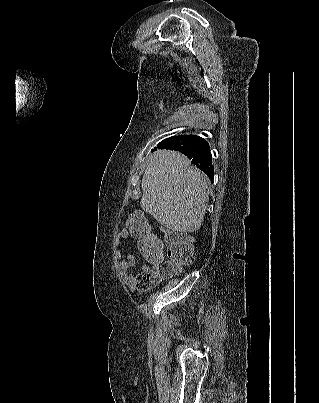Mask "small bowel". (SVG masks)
<instances>
[{"label":"small bowel","mask_w":319,"mask_h":403,"mask_svg":"<svg viewBox=\"0 0 319 403\" xmlns=\"http://www.w3.org/2000/svg\"><path fill=\"white\" fill-rule=\"evenodd\" d=\"M132 235L130 231L124 230L122 231V236L124 238L129 237ZM136 264V258L134 255H128L124 259L117 260L116 262V269L123 280L127 283V285L134 289L137 286V275L132 274L129 272L131 268H133ZM142 272L150 270L148 265H142L141 267Z\"/></svg>","instance_id":"c3829d8e"}]
</instances>
